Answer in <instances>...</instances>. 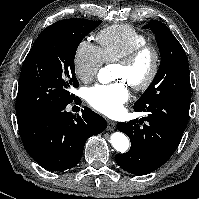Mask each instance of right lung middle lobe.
<instances>
[{"mask_svg":"<svg viewBox=\"0 0 199 199\" xmlns=\"http://www.w3.org/2000/svg\"><path fill=\"white\" fill-rule=\"evenodd\" d=\"M101 22L65 19L40 33L21 69L16 97L18 126L41 113L65 107L77 98L70 92L79 86L74 65L76 50Z\"/></svg>","mask_w":199,"mask_h":199,"instance_id":"1","label":"right lung middle lobe"}]
</instances>
